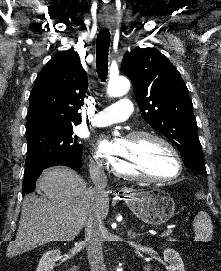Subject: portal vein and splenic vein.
Masks as SVG:
<instances>
[{
    "label": "portal vein and splenic vein",
    "instance_id": "portal-vein-and-splenic-vein-1",
    "mask_svg": "<svg viewBox=\"0 0 221 271\" xmlns=\"http://www.w3.org/2000/svg\"><path fill=\"white\" fill-rule=\"evenodd\" d=\"M173 233V229H166V231H163V233H161V235H159L157 238L159 240H161L163 237H166V235H172Z\"/></svg>",
    "mask_w": 221,
    "mask_h": 271
}]
</instances>
